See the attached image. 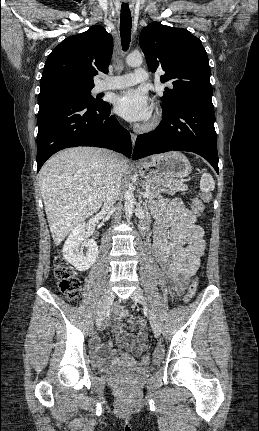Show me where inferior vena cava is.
I'll list each match as a JSON object with an SVG mask.
<instances>
[{"label":"inferior vena cava","mask_w":259,"mask_h":431,"mask_svg":"<svg viewBox=\"0 0 259 431\" xmlns=\"http://www.w3.org/2000/svg\"><path fill=\"white\" fill-rule=\"evenodd\" d=\"M121 186V173L118 168V156L108 152L107 173L104 187V207L110 209L115 203Z\"/></svg>","instance_id":"inferior-vena-cava-1"}]
</instances>
